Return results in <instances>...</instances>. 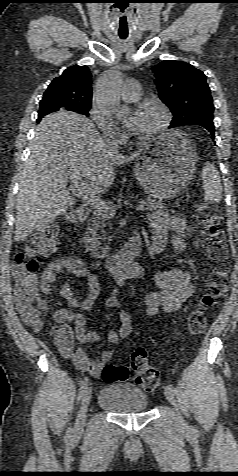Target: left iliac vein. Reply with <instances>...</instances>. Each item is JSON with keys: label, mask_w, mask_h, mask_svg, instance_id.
<instances>
[{"label": "left iliac vein", "mask_w": 238, "mask_h": 476, "mask_svg": "<svg viewBox=\"0 0 238 476\" xmlns=\"http://www.w3.org/2000/svg\"><path fill=\"white\" fill-rule=\"evenodd\" d=\"M164 393H165V396L167 398V400L170 402V404L175 408L176 410V413H177V419H178V422L181 424V425H184L185 422H184V419L178 409V404H177V401H176V398H175V394L172 392V390L169 388V386H166L165 389H164Z\"/></svg>", "instance_id": "1"}]
</instances>
